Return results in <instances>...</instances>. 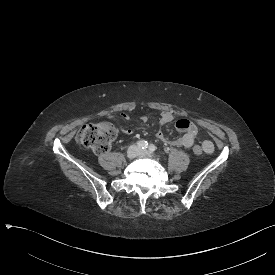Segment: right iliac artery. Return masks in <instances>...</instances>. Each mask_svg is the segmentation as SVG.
I'll use <instances>...</instances> for the list:
<instances>
[{
	"instance_id": "obj_1",
	"label": "right iliac artery",
	"mask_w": 275,
	"mask_h": 275,
	"mask_svg": "<svg viewBox=\"0 0 275 275\" xmlns=\"http://www.w3.org/2000/svg\"><path fill=\"white\" fill-rule=\"evenodd\" d=\"M137 145H138V147L141 148V149H146V148H148V142L145 141V140H140V141H138V142H137Z\"/></svg>"
}]
</instances>
